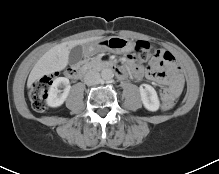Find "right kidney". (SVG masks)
<instances>
[{
	"label": "right kidney",
	"instance_id": "ca27d5eb",
	"mask_svg": "<svg viewBox=\"0 0 219 174\" xmlns=\"http://www.w3.org/2000/svg\"><path fill=\"white\" fill-rule=\"evenodd\" d=\"M63 86V90H59L58 87ZM70 82L68 78L65 77H58L56 78L51 87L48 91V97L46 99V102L48 106L50 107H59L61 106L64 101L66 100L69 91H70Z\"/></svg>",
	"mask_w": 219,
	"mask_h": 174
}]
</instances>
